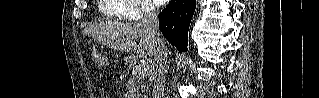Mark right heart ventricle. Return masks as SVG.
<instances>
[{"label":"right heart ventricle","mask_w":319,"mask_h":98,"mask_svg":"<svg viewBox=\"0 0 319 98\" xmlns=\"http://www.w3.org/2000/svg\"><path fill=\"white\" fill-rule=\"evenodd\" d=\"M130 5L127 0H102L100 10L109 19H118L124 16Z\"/></svg>","instance_id":"e07e8e85"}]
</instances>
